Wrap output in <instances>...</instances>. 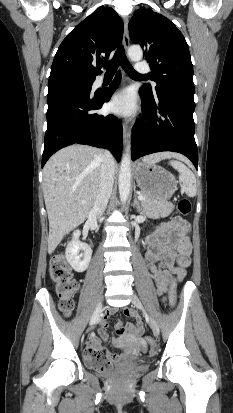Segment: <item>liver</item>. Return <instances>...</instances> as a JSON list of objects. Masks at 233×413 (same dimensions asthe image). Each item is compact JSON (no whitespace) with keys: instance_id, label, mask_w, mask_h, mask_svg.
I'll use <instances>...</instances> for the list:
<instances>
[{"instance_id":"6515ba94","label":"liver","mask_w":233,"mask_h":413,"mask_svg":"<svg viewBox=\"0 0 233 413\" xmlns=\"http://www.w3.org/2000/svg\"><path fill=\"white\" fill-rule=\"evenodd\" d=\"M172 157L183 159L178 154L162 152L144 157L143 161L155 164ZM102 162L99 149L75 144L56 152L44 166L43 194L49 220V254L91 212L99 188Z\"/></svg>"}]
</instances>
